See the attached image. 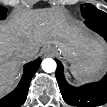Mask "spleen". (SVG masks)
Segmentation results:
<instances>
[{
	"label": "spleen",
	"instance_id": "spleen-1",
	"mask_svg": "<svg viewBox=\"0 0 107 107\" xmlns=\"http://www.w3.org/2000/svg\"><path fill=\"white\" fill-rule=\"evenodd\" d=\"M106 63V56H101L95 62H81L70 67V72L78 82L84 79L95 78L99 71L103 70Z\"/></svg>",
	"mask_w": 107,
	"mask_h": 107
}]
</instances>
